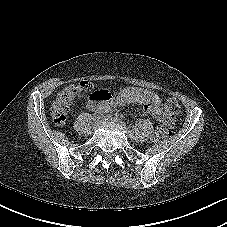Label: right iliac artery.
<instances>
[{
    "instance_id": "obj_1",
    "label": "right iliac artery",
    "mask_w": 227,
    "mask_h": 227,
    "mask_svg": "<svg viewBox=\"0 0 227 227\" xmlns=\"http://www.w3.org/2000/svg\"><path fill=\"white\" fill-rule=\"evenodd\" d=\"M96 113H97V117H98L99 114H101V112H96ZM95 117H96V116H95Z\"/></svg>"
}]
</instances>
